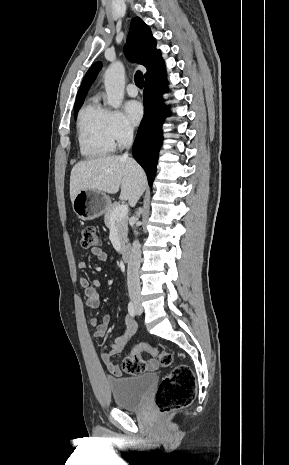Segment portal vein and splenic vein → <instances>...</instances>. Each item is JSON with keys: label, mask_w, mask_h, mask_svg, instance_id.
I'll list each match as a JSON object with an SVG mask.
<instances>
[{"label": "portal vein and splenic vein", "mask_w": 289, "mask_h": 465, "mask_svg": "<svg viewBox=\"0 0 289 465\" xmlns=\"http://www.w3.org/2000/svg\"><path fill=\"white\" fill-rule=\"evenodd\" d=\"M129 208L128 205L122 204L119 207H117L112 215H111V220L112 221H119L125 218L128 214Z\"/></svg>", "instance_id": "portal-vein-and-splenic-vein-1"}]
</instances>
